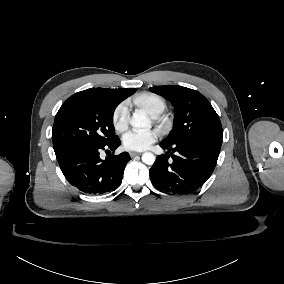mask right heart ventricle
I'll return each mask as SVG.
<instances>
[{"label": "right heart ventricle", "mask_w": 284, "mask_h": 284, "mask_svg": "<svg viewBox=\"0 0 284 284\" xmlns=\"http://www.w3.org/2000/svg\"><path fill=\"white\" fill-rule=\"evenodd\" d=\"M140 103L153 116H158L166 110L165 99L152 92L143 94Z\"/></svg>", "instance_id": "e07e8e85"}]
</instances>
